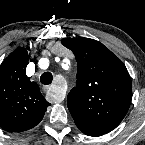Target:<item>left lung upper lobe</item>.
Segmentation results:
<instances>
[{"instance_id":"5c2ea615","label":"left lung upper lobe","mask_w":145,"mask_h":145,"mask_svg":"<svg viewBox=\"0 0 145 145\" xmlns=\"http://www.w3.org/2000/svg\"><path fill=\"white\" fill-rule=\"evenodd\" d=\"M62 44L77 61V87L67 97L77 127L97 135L112 131L125 117L132 99L125 65L96 40L63 38Z\"/></svg>"}]
</instances>
